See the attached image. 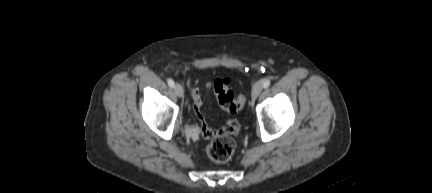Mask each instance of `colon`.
I'll list each match as a JSON object with an SVG mask.
<instances>
[{
	"label": "colon",
	"instance_id": "1",
	"mask_svg": "<svg viewBox=\"0 0 432 193\" xmlns=\"http://www.w3.org/2000/svg\"><path fill=\"white\" fill-rule=\"evenodd\" d=\"M214 93L219 105L227 112L236 114L245 105L246 99L243 95L235 96L227 78H218L214 82ZM235 150V141L227 135L216 136L207 148L208 159L217 164L227 162Z\"/></svg>",
	"mask_w": 432,
	"mask_h": 193
}]
</instances>
